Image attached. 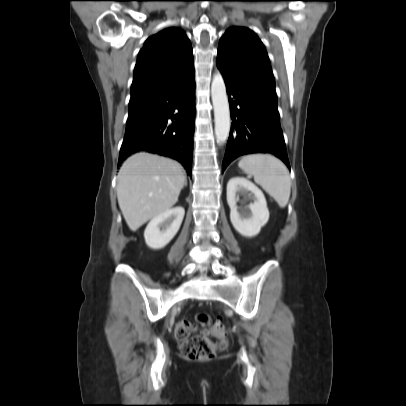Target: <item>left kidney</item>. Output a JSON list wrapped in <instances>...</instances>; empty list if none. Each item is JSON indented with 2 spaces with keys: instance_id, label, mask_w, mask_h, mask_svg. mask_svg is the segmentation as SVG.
Listing matches in <instances>:
<instances>
[{
  "instance_id": "5707ae66",
  "label": "left kidney",
  "mask_w": 406,
  "mask_h": 406,
  "mask_svg": "<svg viewBox=\"0 0 406 406\" xmlns=\"http://www.w3.org/2000/svg\"><path fill=\"white\" fill-rule=\"evenodd\" d=\"M240 196L253 200V202L239 211L237 201ZM227 202L230 207L231 223L242 236L258 235L269 220V211L263 192L246 178L234 177L228 181Z\"/></svg>"
}]
</instances>
